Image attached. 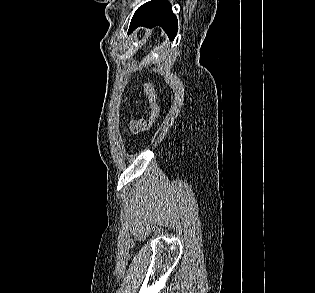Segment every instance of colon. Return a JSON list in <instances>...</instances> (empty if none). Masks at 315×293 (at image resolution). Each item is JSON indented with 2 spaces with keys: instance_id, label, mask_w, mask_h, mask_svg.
Wrapping results in <instances>:
<instances>
[{
  "instance_id": "5ec220e1",
  "label": "colon",
  "mask_w": 315,
  "mask_h": 293,
  "mask_svg": "<svg viewBox=\"0 0 315 293\" xmlns=\"http://www.w3.org/2000/svg\"><path fill=\"white\" fill-rule=\"evenodd\" d=\"M144 93L147 96L149 105H150V119H149V124L151 125V127H158L159 122L158 119L160 114H161V107L160 105H157L156 103V92L155 89L152 85V83L147 82L144 84Z\"/></svg>"
}]
</instances>
